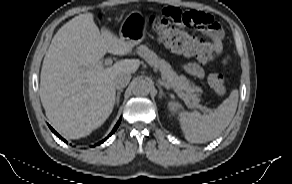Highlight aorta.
Here are the masks:
<instances>
[{"mask_svg": "<svg viewBox=\"0 0 292 184\" xmlns=\"http://www.w3.org/2000/svg\"><path fill=\"white\" fill-rule=\"evenodd\" d=\"M132 92L136 96H147L151 90L149 81L143 78H136L132 82Z\"/></svg>", "mask_w": 292, "mask_h": 184, "instance_id": "1", "label": "aorta"}]
</instances>
